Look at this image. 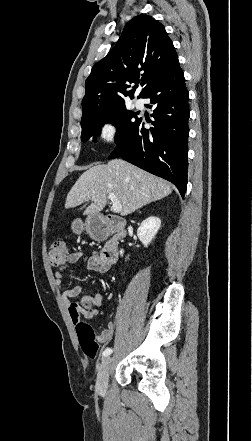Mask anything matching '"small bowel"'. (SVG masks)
Segmentation results:
<instances>
[{
	"mask_svg": "<svg viewBox=\"0 0 252 441\" xmlns=\"http://www.w3.org/2000/svg\"><path fill=\"white\" fill-rule=\"evenodd\" d=\"M85 262L87 269L97 273H104L108 271L109 267L105 264L100 255L93 251L88 255L81 252H73L67 255L61 266L55 271V285L61 289L63 286V272L64 270L75 263ZM84 287L82 285L74 286L73 288L64 290L62 298L66 301L69 315L74 324H77L81 317L92 319L100 314L99 308L104 306L105 297L102 293H95L87 295L83 293ZM69 299H74L69 301ZM115 330V323L108 321L106 328L98 336L99 342H108L112 339Z\"/></svg>",
	"mask_w": 252,
	"mask_h": 441,
	"instance_id": "small-bowel-1",
	"label": "small bowel"
}]
</instances>
